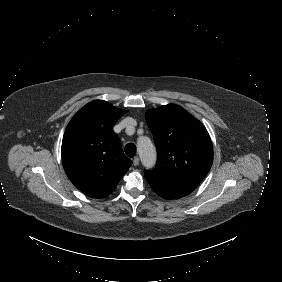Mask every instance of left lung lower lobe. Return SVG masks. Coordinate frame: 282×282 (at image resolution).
Instances as JSON below:
<instances>
[{
    "label": "left lung lower lobe",
    "instance_id": "left-lung-lower-lobe-1",
    "mask_svg": "<svg viewBox=\"0 0 282 282\" xmlns=\"http://www.w3.org/2000/svg\"><path fill=\"white\" fill-rule=\"evenodd\" d=\"M145 177L155 193L164 199H178L190 194L197 186L181 183H166L144 172Z\"/></svg>",
    "mask_w": 282,
    "mask_h": 282
}]
</instances>
